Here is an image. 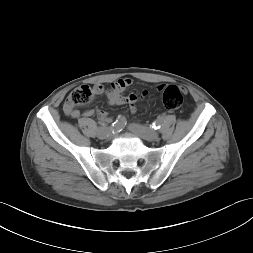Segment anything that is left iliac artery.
I'll list each match as a JSON object with an SVG mask.
<instances>
[{
	"label": "left iliac artery",
	"instance_id": "1",
	"mask_svg": "<svg viewBox=\"0 0 253 253\" xmlns=\"http://www.w3.org/2000/svg\"><path fill=\"white\" fill-rule=\"evenodd\" d=\"M161 120L160 119H158V120H156L153 124H152V128H154V129H160V127H161Z\"/></svg>",
	"mask_w": 253,
	"mask_h": 253
}]
</instances>
